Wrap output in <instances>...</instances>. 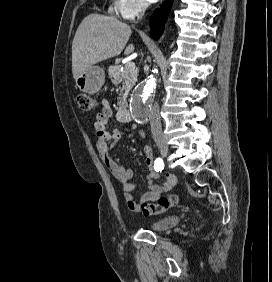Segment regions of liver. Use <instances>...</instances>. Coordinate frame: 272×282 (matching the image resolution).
Returning <instances> with one entry per match:
<instances>
[{
	"instance_id": "liver-1",
	"label": "liver",
	"mask_w": 272,
	"mask_h": 282,
	"mask_svg": "<svg viewBox=\"0 0 272 282\" xmlns=\"http://www.w3.org/2000/svg\"><path fill=\"white\" fill-rule=\"evenodd\" d=\"M131 35V27L115 17L89 14L80 23L72 43V73L76 80L89 67L118 56ZM134 51L126 47L124 54Z\"/></svg>"
}]
</instances>
